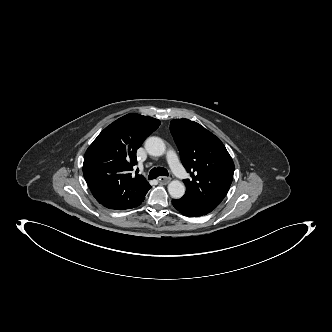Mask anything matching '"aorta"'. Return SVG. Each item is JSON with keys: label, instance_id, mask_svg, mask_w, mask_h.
<instances>
[{"label": "aorta", "instance_id": "762f6f07", "mask_svg": "<svg viewBox=\"0 0 332 332\" xmlns=\"http://www.w3.org/2000/svg\"><path fill=\"white\" fill-rule=\"evenodd\" d=\"M145 149L149 155L162 156L166 151L164 141L159 137H149L145 141ZM168 192L172 198L179 199L185 193V186L178 180H173L168 185Z\"/></svg>", "mask_w": 332, "mask_h": 332}]
</instances>
